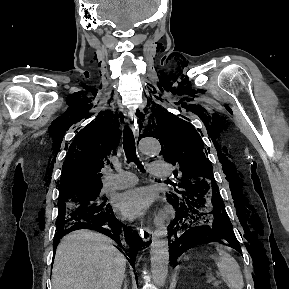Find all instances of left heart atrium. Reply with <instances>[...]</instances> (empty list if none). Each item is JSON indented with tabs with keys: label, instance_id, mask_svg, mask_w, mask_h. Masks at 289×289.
Returning a JSON list of instances; mask_svg holds the SVG:
<instances>
[{
	"label": "left heart atrium",
	"instance_id": "obj_1",
	"mask_svg": "<svg viewBox=\"0 0 289 289\" xmlns=\"http://www.w3.org/2000/svg\"><path fill=\"white\" fill-rule=\"evenodd\" d=\"M154 200L147 188H135L119 194L115 201L116 209L126 218L134 219L144 215Z\"/></svg>",
	"mask_w": 289,
	"mask_h": 289
}]
</instances>
